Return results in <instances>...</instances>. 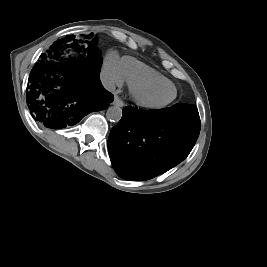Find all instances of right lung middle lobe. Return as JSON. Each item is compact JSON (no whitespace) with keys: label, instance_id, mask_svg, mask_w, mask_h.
I'll list each match as a JSON object with an SVG mask.
<instances>
[{"label":"right lung middle lobe","instance_id":"right-lung-middle-lobe-1","mask_svg":"<svg viewBox=\"0 0 267 267\" xmlns=\"http://www.w3.org/2000/svg\"><path fill=\"white\" fill-rule=\"evenodd\" d=\"M93 37V33L89 34L86 36V38H92ZM75 36H66L65 38L58 40L56 42H54V44L50 47V50H53L54 48H59L60 45L65 44L66 43H71V46L73 48H75L77 51L82 50V52L86 53V52H92L97 56H100V53L98 52V50L93 49L95 42L92 41H81V40H75L74 39ZM49 51V50H48ZM101 57V56H100Z\"/></svg>","mask_w":267,"mask_h":267}]
</instances>
